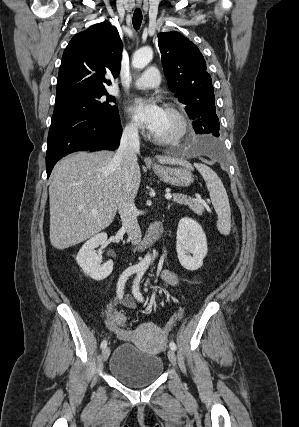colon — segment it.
Listing matches in <instances>:
<instances>
[{
  "instance_id": "colon-1",
  "label": "colon",
  "mask_w": 299,
  "mask_h": 427,
  "mask_svg": "<svg viewBox=\"0 0 299 427\" xmlns=\"http://www.w3.org/2000/svg\"><path fill=\"white\" fill-rule=\"evenodd\" d=\"M114 321H115V324L121 329V330H123L122 329V326L125 324V322H126V317H125V315L124 314H122V313H120V314H118L116 317H115V319H114Z\"/></svg>"
}]
</instances>
